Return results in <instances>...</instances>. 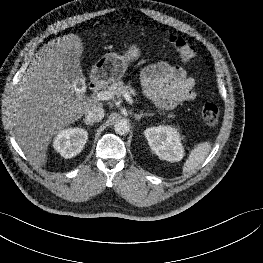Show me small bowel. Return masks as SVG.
I'll use <instances>...</instances> for the list:
<instances>
[{"instance_id": "c3829d8e", "label": "small bowel", "mask_w": 263, "mask_h": 263, "mask_svg": "<svg viewBox=\"0 0 263 263\" xmlns=\"http://www.w3.org/2000/svg\"><path fill=\"white\" fill-rule=\"evenodd\" d=\"M141 79L146 96L162 108H174L196 95L194 79L179 66L165 62L149 65L143 69Z\"/></svg>"}]
</instances>
